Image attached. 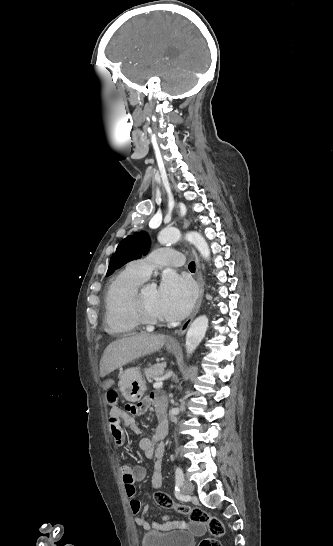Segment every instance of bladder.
Wrapping results in <instances>:
<instances>
[{
  "instance_id": "1",
  "label": "bladder",
  "mask_w": 333,
  "mask_h": 546,
  "mask_svg": "<svg viewBox=\"0 0 333 546\" xmlns=\"http://www.w3.org/2000/svg\"><path fill=\"white\" fill-rule=\"evenodd\" d=\"M193 536L183 530L167 533L147 532L142 538V546H191Z\"/></svg>"
}]
</instances>
